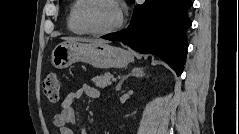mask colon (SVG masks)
I'll use <instances>...</instances> for the list:
<instances>
[{
    "label": "colon",
    "mask_w": 239,
    "mask_h": 134,
    "mask_svg": "<svg viewBox=\"0 0 239 134\" xmlns=\"http://www.w3.org/2000/svg\"><path fill=\"white\" fill-rule=\"evenodd\" d=\"M43 90L51 103H57L60 99L61 79L58 75L49 74L44 80Z\"/></svg>",
    "instance_id": "obj_1"
}]
</instances>
